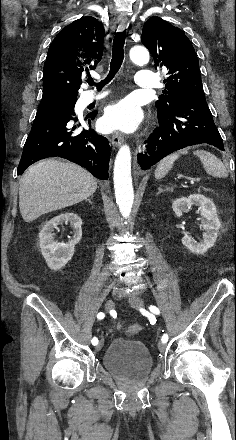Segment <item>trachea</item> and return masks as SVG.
Here are the masks:
<instances>
[{
	"mask_svg": "<svg viewBox=\"0 0 236 440\" xmlns=\"http://www.w3.org/2000/svg\"><path fill=\"white\" fill-rule=\"evenodd\" d=\"M126 30L117 32L113 40L112 59L110 63V71L107 77L99 83H95L93 79H88L89 85H95L97 90L109 83L121 68L124 59V44H125Z\"/></svg>",
	"mask_w": 236,
	"mask_h": 440,
	"instance_id": "1",
	"label": "trachea"
}]
</instances>
